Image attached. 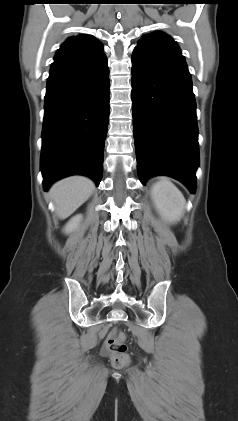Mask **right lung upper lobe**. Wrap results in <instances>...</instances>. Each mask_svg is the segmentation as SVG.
Masks as SVG:
<instances>
[{"label": "right lung upper lobe", "mask_w": 238, "mask_h": 421, "mask_svg": "<svg viewBox=\"0 0 238 421\" xmlns=\"http://www.w3.org/2000/svg\"><path fill=\"white\" fill-rule=\"evenodd\" d=\"M105 55L103 46L93 36L78 35L68 38L57 51L54 60H66Z\"/></svg>", "instance_id": "cb5924a9"}]
</instances>
